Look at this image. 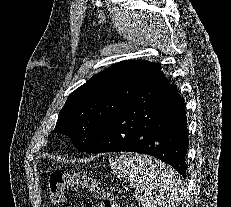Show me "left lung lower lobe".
I'll return each instance as SVG.
<instances>
[{"mask_svg": "<svg viewBox=\"0 0 231 207\" xmlns=\"http://www.w3.org/2000/svg\"><path fill=\"white\" fill-rule=\"evenodd\" d=\"M188 144L184 99L157 64L141 91L111 118L85 152L148 154L186 178Z\"/></svg>", "mask_w": 231, "mask_h": 207, "instance_id": "left-lung-lower-lobe-1", "label": "left lung lower lobe"}]
</instances>
